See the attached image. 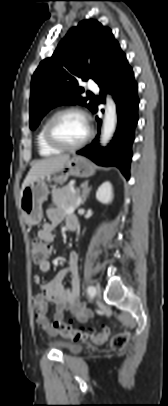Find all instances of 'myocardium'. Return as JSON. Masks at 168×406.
Returning <instances> with one entry per match:
<instances>
[{"label":"myocardium","instance_id":"1","mask_svg":"<svg viewBox=\"0 0 168 406\" xmlns=\"http://www.w3.org/2000/svg\"><path fill=\"white\" fill-rule=\"evenodd\" d=\"M66 113H77V114L81 115L87 123L88 132H87L86 136L82 140H80L79 142L74 143V144H64V143L58 141L53 135L52 127H53L54 122L56 121V119L58 117H60L63 114H66ZM92 135H93V128L90 124L87 113L84 110H82L78 107H73V106L65 107V108H62V109L58 110L57 112H55L46 122L45 129H44V137H45L46 142L50 146L60 149V150L78 149V148L82 147L83 145H85L90 140Z\"/></svg>","mask_w":168,"mask_h":406}]
</instances>
